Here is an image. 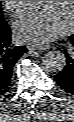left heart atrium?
I'll use <instances>...</instances> for the list:
<instances>
[{
	"mask_svg": "<svg viewBox=\"0 0 74 122\" xmlns=\"http://www.w3.org/2000/svg\"><path fill=\"white\" fill-rule=\"evenodd\" d=\"M68 28L69 22L53 5H44L23 12L13 23L15 36L23 43L49 42L63 35Z\"/></svg>",
	"mask_w": 74,
	"mask_h": 122,
	"instance_id": "39dd6f15",
	"label": "left heart atrium"
}]
</instances>
